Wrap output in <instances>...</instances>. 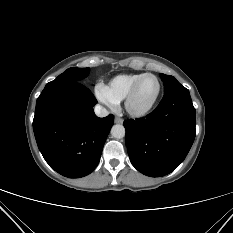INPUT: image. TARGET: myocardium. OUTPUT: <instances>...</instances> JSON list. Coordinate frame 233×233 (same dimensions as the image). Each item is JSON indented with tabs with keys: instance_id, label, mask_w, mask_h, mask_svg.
Here are the masks:
<instances>
[{
	"instance_id": "1",
	"label": "myocardium",
	"mask_w": 233,
	"mask_h": 233,
	"mask_svg": "<svg viewBox=\"0 0 233 233\" xmlns=\"http://www.w3.org/2000/svg\"><path fill=\"white\" fill-rule=\"evenodd\" d=\"M147 77H153L156 81H157V85H158V88H157V93L154 97V99L144 108H140V109H137V108H134L133 105H132V102L134 100V97L137 93V90L141 84V82L147 78ZM160 94H161V82L159 80V78L154 75V74H151V73H145L144 75H142L135 83L134 85L131 87L129 93L127 94L125 100H124V108H125V111L132 117L134 118H142V117H145L147 116L155 107V105L157 104L158 100H159V97H160Z\"/></svg>"
}]
</instances>
